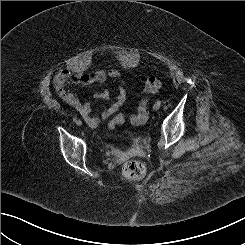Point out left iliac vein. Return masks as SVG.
<instances>
[{"mask_svg":"<svg viewBox=\"0 0 245 245\" xmlns=\"http://www.w3.org/2000/svg\"><path fill=\"white\" fill-rule=\"evenodd\" d=\"M153 108H154L155 110H158V109L160 108V105H158L157 103H155V104L153 105Z\"/></svg>","mask_w":245,"mask_h":245,"instance_id":"1","label":"left iliac vein"}]
</instances>
